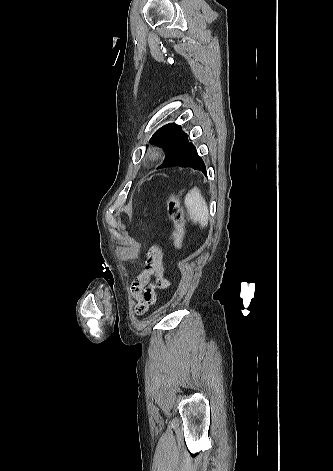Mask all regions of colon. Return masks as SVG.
<instances>
[{"label": "colon", "instance_id": "colon-1", "mask_svg": "<svg viewBox=\"0 0 333 471\" xmlns=\"http://www.w3.org/2000/svg\"><path fill=\"white\" fill-rule=\"evenodd\" d=\"M167 212L174 226L173 245L175 250L179 252L182 248L185 233V218L180 202L174 194H171L167 199Z\"/></svg>", "mask_w": 333, "mask_h": 471}]
</instances>
